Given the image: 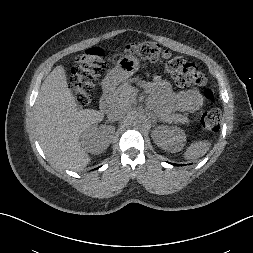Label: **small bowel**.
<instances>
[{"mask_svg":"<svg viewBox=\"0 0 253 253\" xmlns=\"http://www.w3.org/2000/svg\"><path fill=\"white\" fill-rule=\"evenodd\" d=\"M148 88L154 91L163 103L171 110L178 112H195L203 102L201 93L196 88L175 92L169 83L159 76H155Z\"/></svg>","mask_w":253,"mask_h":253,"instance_id":"small-bowel-1","label":"small bowel"}]
</instances>
